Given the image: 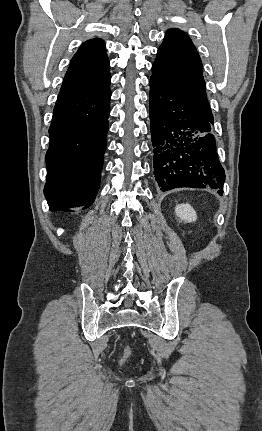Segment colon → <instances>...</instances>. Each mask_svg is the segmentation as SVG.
I'll list each match as a JSON object with an SVG mask.
<instances>
[{"label": "colon", "mask_w": 262, "mask_h": 431, "mask_svg": "<svg viewBox=\"0 0 262 431\" xmlns=\"http://www.w3.org/2000/svg\"><path fill=\"white\" fill-rule=\"evenodd\" d=\"M131 354H132L131 346H127V347L125 348V350H124V353H123L122 357H121V358H120V360H119V363H120L121 365H122V364H125V363L130 359Z\"/></svg>", "instance_id": "colon-1"}]
</instances>
